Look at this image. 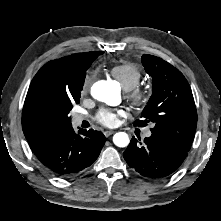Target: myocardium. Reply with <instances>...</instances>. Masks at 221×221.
Instances as JSON below:
<instances>
[{
  "label": "myocardium",
  "instance_id": "1",
  "mask_svg": "<svg viewBox=\"0 0 221 221\" xmlns=\"http://www.w3.org/2000/svg\"><path fill=\"white\" fill-rule=\"evenodd\" d=\"M126 98L137 108L144 107L149 100V93L147 90L136 87L130 91H126Z\"/></svg>",
  "mask_w": 221,
  "mask_h": 221
}]
</instances>
